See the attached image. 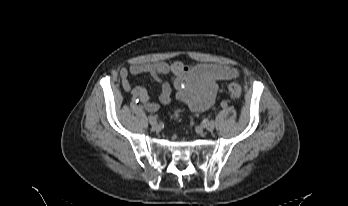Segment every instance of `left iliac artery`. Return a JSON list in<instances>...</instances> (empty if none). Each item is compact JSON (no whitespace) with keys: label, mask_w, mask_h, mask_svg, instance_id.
I'll return each instance as SVG.
<instances>
[{"label":"left iliac artery","mask_w":348,"mask_h":206,"mask_svg":"<svg viewBox=\"0 0 348 206\" xmlns=\"http://www.w3.org/2000/svg\"><path fill=\"white\" fill-rule=\"evenodd\" d=\"M221 107H223V109H228V107H230V102L229 101H221Z\"/></svg>","instance_id":"44dca946"}]
</instances>
